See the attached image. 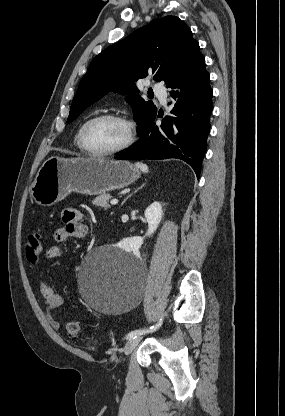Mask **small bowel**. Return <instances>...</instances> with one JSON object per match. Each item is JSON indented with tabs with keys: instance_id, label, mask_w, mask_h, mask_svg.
<instances>
[{
	"instance_id": "1",
	"label": "small bowel",
	"mask_w": 285,
	"mask_h": 416,
	"mask_svg": "<svg viewBox=\"0 0 285 416\" xmlns=\"http://www.w3.org/2000/svg\"><path fill=\"white\" fill-rule=\"evenodd\" d=\"M63 226L54 231L53 238L57 243L64 242L70 238L81 239L87 235L88 228L83 223L85 214L74 208H66L61 214ZM62 249L58 245H51L46 250V258L50 260L62 257ZM40 294L45 303V314L48 323L54 330H58L60 324L55 317L56 309L62 304V296L49 284L42 282L39 286Z\"/></svg>"
}]
</instances>
